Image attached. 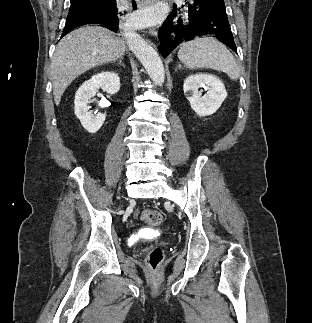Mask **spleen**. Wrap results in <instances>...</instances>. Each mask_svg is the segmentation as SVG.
Instances as JSON below:
<instances>
[{
  "instance_id": "spleen-1",
  "label": "spleen",
  "mask_w": 312,
  "mask_h": 323,
  "mask_svg": "<svg viewBox=\"0 0 312 323\" xmlns=\"http://www.w3.org/2000/svg\"><path fill=\"white\" fill-rule=\"evenodd\" d=\"M178 58L189 70L211 68L225 72L231 80H237L240 76L233 54L216 38L203 36L191 42H184L178 52Z\"/></svg>"
}]
</instances>
